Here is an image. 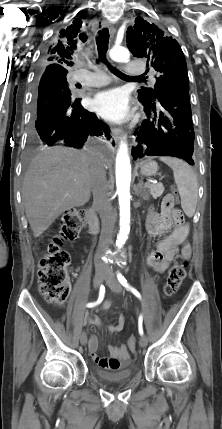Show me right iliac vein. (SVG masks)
<instances>
[{"label": "right iliac vein", "instance_id": "right-iliac-vein-1", "mask_svg": "<svg viewBox=\"0 0 222 429\" xmlns=\"http://www.w3.org/2000/svg\"><path fill=\"white\" fill-rule=\"evenodd\" d=\"M103 279H104V270L103 269H97L95 276H94V279H93V286L95 289H98L101 286ZM79 339H80V343L82 345H86L87 335L84 331L80 333Z\"/></svg>", "mask_w": 222, "mask_h": 429}]
</instances>
